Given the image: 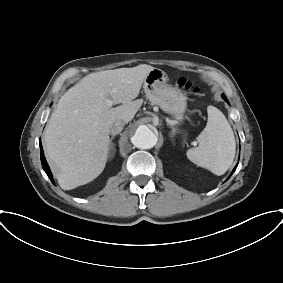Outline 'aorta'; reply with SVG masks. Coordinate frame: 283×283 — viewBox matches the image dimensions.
Masks as SVG:
<instances>
[{"instance_id": "aorta-1", "label": "aorta", "mask_w": 283, "mask_h": 283, "mask_svg": "<svg viewBox=\"0 0 283 283\" xmlns=\"http://www.w3.org/2000/svg\"><path fill=\"white\" fill-rule=\"evenodd\" d=\"M133 145L140 149H150L157 143L154 132L146 125H140L131 138Z\"/></svg>"}]
</instances>
